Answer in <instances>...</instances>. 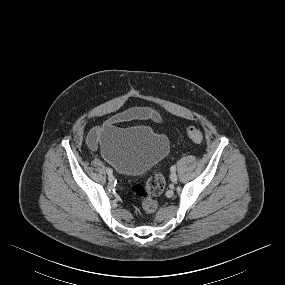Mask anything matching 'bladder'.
I'll list each match as a JSON object with an SVG mask.
<instances>
[{
	"label": "bladder",
	"mask_w": 285,
	"mask_h": 285,
	"mask_svg": "<svg viewBox=\"0 0 285 285\" xmlns=\"http://www.w3.org/2000/svg\"><path fill=\"white\" fill-rule=\"evenodd\" d=\"M166 136L148 126L122 128L104 124L100 148L104 159L127 174H141L155 166L169 151Z\"/></svg>",
	"instance_id": "1"
}]
</instances>
